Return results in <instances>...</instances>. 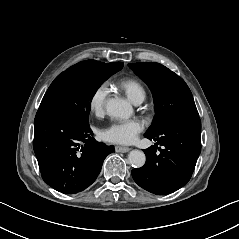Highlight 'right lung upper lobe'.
Here are the masks:
<instances>
[{"mask_svg": "<svg viewBox=\"0 0 239 239\" xmlns=\"http://www.w3.org/2000/svg\"><path fill=\"white\" fill-rule=\"evenodd\" d=\"M103 63V62H101ZM108 66H110L111 68L117 69V70H121L123 67V63L122 62H113V63H104Z\"/></svg>", "mask_w": 239, "mask_h": 239, "instance_id": "1", "label": "right lung upper lobe"}]
</instances>
